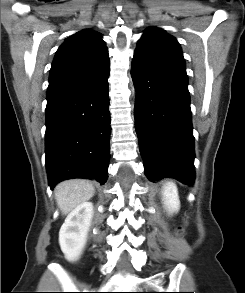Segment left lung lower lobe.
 <instances>
[{"mask_svg": "<svg viewBox=\"0 0 245 293\" xmlns=\"http://www.w3.org/2000/svg\"><path fill=\"white\" fill-rule=\"evenodd\" d=\"M131 76L139 91L135 128L149 179L194 184V137L186 72L134 52Z\"/></svg>", "mask_w": 245, "mask_h": 293, "instance_id": "obj_1", "label": "left lung lower lobe"}]
</instances>
